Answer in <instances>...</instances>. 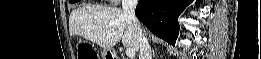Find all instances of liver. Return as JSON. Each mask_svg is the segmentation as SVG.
<instances>
[{
	"mask_svg": "<svg viewBox=\"0 0 261 59\" xmlns=\"http://www.w3.org/2000/svg\"><path fill=\"white\" fill-rule=\"evenodd\" d=\"M70 35H80L102 48L111 49L120 40L125 47L139 50L137 30L119 8L84 6L71 12Z\"/></svg>",
	"mask_w": 261,
	"mask_h": 59,
	"instance_id": "1",
	"label": "liver"
}]
</instances>
